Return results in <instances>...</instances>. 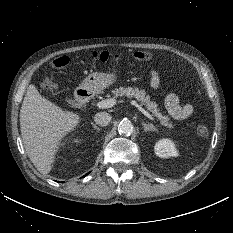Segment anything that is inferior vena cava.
<instances>
[{"label":"inferior vena cava","mask_w":233,"mask_h":233,"mask_svg":"<svg viewBox=\"0 0 233 233\" xmlns=\"http://www.w3.org/2000/svg\"><path fill=\"white\" fill-rule=\"evenodd\" d=\"M111 119V115L107 112H99L94 117V121L96 122V124H99L101 126H107L110 123Z\"/></svg>","instance_id":"602c4592"}]
</instances>
